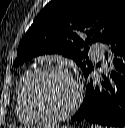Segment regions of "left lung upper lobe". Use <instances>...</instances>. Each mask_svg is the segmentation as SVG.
Masks as SVG:
<instances>
[{"instance_id":"1","label":"left lung upper lobe","mask_w":125,"mask_h":128,"mask_svg":"<svg viewBox=\"0 0 125 128\" xmlns=\"http://www.w3.org/2000/svg\"><path fill=\"white\" fill-rule=\"evenodd\" d=\"M124 26L125 0H52L20 41L15 65L38 55L59 53L73 59L83 73L92 71L89 45L107 44ZM82 32L87 34L85 41L79 37Z\"/></svg>"}]
</instances>
